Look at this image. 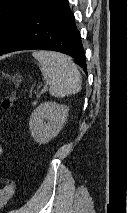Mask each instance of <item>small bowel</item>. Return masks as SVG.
<instances>
[{
	"instance_id": "obj_1",
	"label": "small bowel",
	"mask_w": 128,
	"mask_h": 213,
	"mask_svg": "<svg viewBox=\"0 0 128 213\" xmlns=\"http://www.w3.org/2000/svg\"><path fill=\"white\" fill-rule=\"evenodd\" d=\"M2 152H3L2 146L0 145V156L2 155Z\"/></svg>"
}]
</instances>
